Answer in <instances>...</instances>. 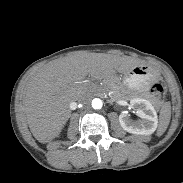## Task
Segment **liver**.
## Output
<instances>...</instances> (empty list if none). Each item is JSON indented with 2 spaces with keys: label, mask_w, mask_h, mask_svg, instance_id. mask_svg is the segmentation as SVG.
Segmentation results:
<instances>
[{
  "label": "liver",
  "mask_w": 183,
  "mask_h": 183,
  "mask_svg": "<svg viewBox=\"0 0 183 183\" xmlns=\"http://www.w3.org/2000/svg\"><path fill=\"white\" fill-rule=\"evenodd\" d=\"M142 62L127 56L78 52L49 62L28 80L23 98L30 131L40 143L58 137L71 115L69 104L85 89L87 75L103 79Z\"/></svg>",
  "instance_id": "liver-1"
}]
</instances>
